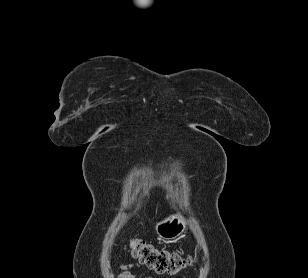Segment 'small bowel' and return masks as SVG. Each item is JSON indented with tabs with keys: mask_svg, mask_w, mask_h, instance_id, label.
Returning <instances> with one entry per match:
<instances>
[{
	"mask_svg": "<svg viewBox=\"0 0 308 278\" xmlns=\"http://www.w3.org/2000/svg\"><path fill=\"white\" fill-rule=\"evenodd\" d=\"M119 267L122 270V274L119 276V278H136L134 273L132 272L134 265L120 264ZM148 278H152V277H148Z\"/></svg>",
	"mask_w": 308,
	"mask_h": 278,
	"instance_id": "1",
	"label": "small bowel"
}]
</instances>
